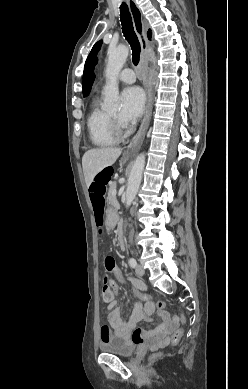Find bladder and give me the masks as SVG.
Returning <instances> with one entry per match:
<instances>
[{
    "label": "bladder",
    "instance_id": "1",
    "mask_svg": "<svg viewBox=\"0 0 248 389\" xmlns=\"http://www.w3.org/2000/svg\"><path fill=\"white\" fill-rule=\"evenodd\" d=\"M103 354H112L121 357H131L136 352V347L129 344L127 340L116 335L110 336L99 346Z\"/></svg>",
    "mask_w": 248,
    "mask_h": 389
}]
</instances>
